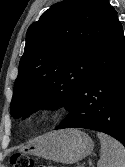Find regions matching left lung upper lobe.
<instances>
[{"mask_svg":"<svg viewBox=\"0 0 125 167\" xmlns=\"http://www.w3.org/2000/svg\"><path fill=\"white\" fill-rule=\"evenodd\" d=\"M116 17L109 0H64L31 24L14 84L11 115L28 117L40 105L68 109Z\"/></svg>","mask_w":125,"mask_h":167,"instance_id":"left-lung-upper-lobe-1","label":"left lung upper lobe"}]
</instances>
